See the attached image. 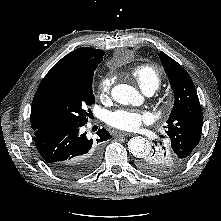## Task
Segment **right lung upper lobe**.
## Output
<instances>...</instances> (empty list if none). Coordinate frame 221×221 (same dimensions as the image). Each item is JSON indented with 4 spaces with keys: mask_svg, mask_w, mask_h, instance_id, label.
<instances>
[{
    "mask_svg": "<svg viewBox=\"0 0 221 221\" xmlns=\"http://www.w3.org/2000/svg\"><path fill=\"white\" fill-rule=\"evenodd\" d=\"M104 52L98 49H92L89 47L78 48L61 60H59L46 74L44 79L42 80L32 102L31 109V126L33 131L40 129H52L50 128L42 115L40 104H39V92L41 88L49 81L60 78L69 74L83 65L89 62H101L103 60Z\"/></svg>",
    "mask_w": 221,
    "mask_h": 221,
    "instance_id": "1",
    "label": "right lung upper lobe"
}]
</instances>
